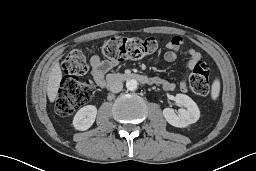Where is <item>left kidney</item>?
Returning a JSON list of instances; mask_svg holds the SVG:
<instances>
[{"label": "left kidney", "mask_w": 256, "mask_h": 171, "mask_svg": "<svg viewBox=\"0 0 256 171\" xmlns=\"http://www.w3.org/2000/svg\"><path fill=\"white\" fill-rule=\"evenodd\" d=\"M175 101L183 106L178 110V114L175 113L172 108H165L163 110V116L166 121L172 126L184 128L192 123L198 121L200 117V111L197 104L185 94H177Z\"/></svg>", "instance_id": "5707ae66"}]
</instances>
